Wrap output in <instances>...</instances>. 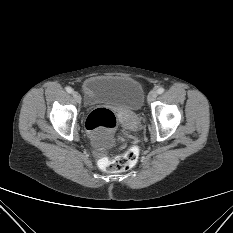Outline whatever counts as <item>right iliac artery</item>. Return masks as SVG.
<instances>
[{"label": "right iliac artery", "instance_id": "82829eb1", "mask_svg": "<svg viewBox=\"0 0 233 233\" xmlns=\"http://www.w3.org/2000/svg\"><path fill=\"white\" fill-rule=\"evenodd\" d=\"M66 91H67L68 93H72V92H73V89H72L71 87H66Z\"/></svg>", "mask_w": 233, "mask_h": 233}]
</instances>
